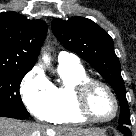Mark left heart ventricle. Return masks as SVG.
Listing matches in <instances>:
<instances>
[{"label":"left heart ventricle","instance_id":"1","mask_svg":"<svg viewBox=\"0 0 136 136\" xmlns=\"http://www.w3.org/2000/svg\"><path fill=\"white\" fill-rule=\"evenodd\" d=\"M89 105L93 115L101 119L110 117L114 110L112 99L103 88H96L93 91Z\"/></svg>","mask_w":136,"mask_h":136}]
</instances>
